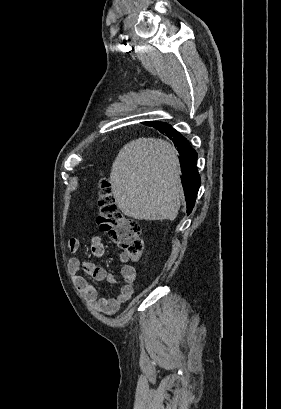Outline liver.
Masks as SVG:
<instances>
[{
  "label": "liver",
  "instance_id": "1",
  "mask_svg": "<svg viewBox=\"0 0 281 409\" xmlns=\"http://www.w3.org/2000/svg\"><path fill=\"white\" fill-rule=\"evenodd\" d=\"M177 152L161 138H136L119 150L111 170L116 205L124 215L174 221L183 186Z\"/></svg>",
  "mask_w": 281,
  "mask_h": 409
}]
</instances>
